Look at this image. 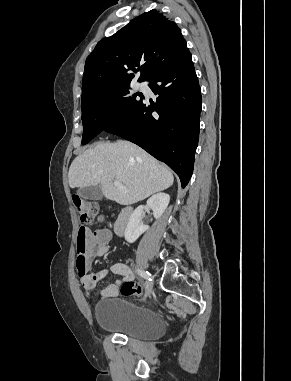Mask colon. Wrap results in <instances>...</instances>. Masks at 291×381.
Here are the masks:
<instances>
[{
    "instance_id": "colon-1",
    "label": "colon",
    "mask_w": 291,
    "mask_h": 381,
    "mask_svg": "<svg viewBox=\"0 0 291 381\" xmlns=\"http://www.w3.org/2000/svg\"><path fill=\"white\" fill-rule=\"evenodd\" d=\"M73 203L82 221L91 222L94 219L101 220L103 218L97 204L79 196L73 198ZM88 242V230L85 227H81L77 236V263L78 267L82 270L87 268ZM120 293L123 296L140 295L142 289L136 282L127 281L120 287Z\"/></svg>"
}]
</instances>
